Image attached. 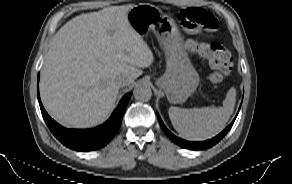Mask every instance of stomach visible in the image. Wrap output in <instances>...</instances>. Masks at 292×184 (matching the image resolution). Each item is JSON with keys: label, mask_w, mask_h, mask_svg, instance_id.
I'll return each instance as SVG.
<instances>
[{"label": "stomach", "mask_w": 292, "mask_h": 184, "mask_svg": "<svg viewBox=\"0 0 292 184\" xmlns=\"http://www.w3.org/2000/svg\"><path fill=\"white\" fill-rule=\"evenodd\" d=\"M127 19L140 36L153 30L157 39L165 47H169L167 69L158 80V84L164 89L171 103L186 101L197 87L199 78L185 51L174 43L177 33L174 22L166 20L157 8L148 4L131 8L127 13Z\"/></svg>", "instance_id": "1"}]
</instances>
